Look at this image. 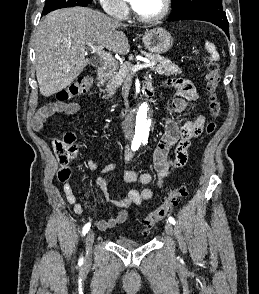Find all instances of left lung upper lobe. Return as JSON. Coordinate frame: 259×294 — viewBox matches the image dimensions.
<instances>
[{"label":"left lung upper lobe","mask_w":259,"mask_h":294,"mask_svg":"<svg viewBox=\"0 0 259 294\" xmlns=\"http://www.w3.org/2000/svg\"><path fill=\"white\" fill-rule=\"evenodd\" d=\"M173 13L170 17L188 14L200 9L223 10L222 0H172Z\"/></svg>","instance_id":"left-lung-upper-lobe-1"}]
</instances>
